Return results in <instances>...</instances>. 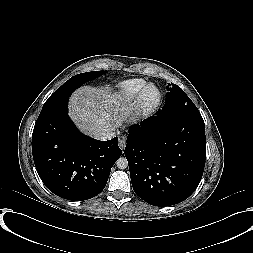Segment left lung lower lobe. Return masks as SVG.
<instances>
[{
  "label": "left lung lower lobe",
  "mask_w": 253,
  "mask_h": 253,
  "mask_svg": "<svg viewBox=\"0 0 253 253\" xmlns=\"http://www.w3.org/2000/svg\"><path fill=\"white\" fill-rule=\"evenodd\" d=\"M128 132L125 156L135 193L154 206L187 199L200 183L205 166L200 112L161 111Z\"/></svg>",
  "instance_id": "left-lung-lower-lobe-1"
}]
</instances>
